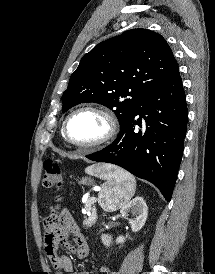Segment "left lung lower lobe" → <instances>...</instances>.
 <instances>
[{"instance_id": "left-lung-lower-lobe-1", "label": "left lung lower lobe", "mask_w": 215, "mask_h": 274, "mask_svg": "<svg viewBox=\"0 0 215 274\" xmlns=\"http://www.w3.org/2000/svg\"><path fill=\"white\" fill-rule=\"evenodd\" d=\"M187 116L178 71L141 101L110 146L86 157L121 166L156 185L170 201L182 159Z\"/></svg>"}]
</instances>
